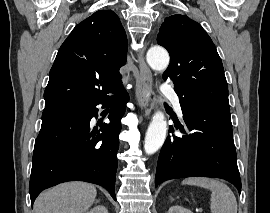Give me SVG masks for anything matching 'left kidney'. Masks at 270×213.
<instances>
[{"mask_svg": "<svg viewBox=\"0 0 270 213\" xmlns=\"http://www.w3.org/2000/svg\"><path fill=\"white\" fill-rule=\"evenodd\" d=\"M167 213H192V212L188 210L187 208L175 205V206H171Z\"/></svg>", "mask_w": 270, "mask_h": 213, "instance_id": "5707ae66", "label": "left kidney"}]
</instances>
